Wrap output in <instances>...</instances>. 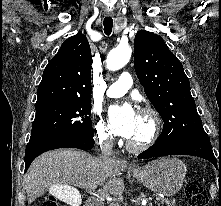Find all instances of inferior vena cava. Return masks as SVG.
<instances>
[{
    "mask_svg": "<svg viewBox=\"0 0 221 206\" xmlns=\"http://www.w3.org/2000/svg\"><path fill=\"white\" fill-rule=\"evenodd\" d=\"M101 151L105 156L113 155V141L111 139H103L100 142ZM115 158V156H113ZM112 206H119L118 204H113Z\"/></svg>",
    "mask_w": 221,
    "mask_h": 206,
    "instance_id": "obj_1",
    "label": "inferior vena cava"
}]
</instances>
